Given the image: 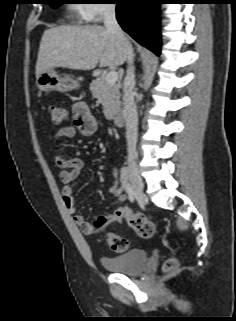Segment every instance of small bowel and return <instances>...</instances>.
<instances>
[{
  "label": "small bowel",
  "instance_id": "c3829d8e",
  "mask_svg": "<svg viewBox=\"0 0 236 321\" xmlns=\"http://www.w3.org/2000/svg\"><path fill=\"white\" fill-rule=\"evenodd\" d=\"M72 122L58 129L54 139L60 142L74 137L77 133L82 136L92 135L101 125L100 121L91 113L88 105L84 101H77L72 106ZM55 164L60 168V179L63 183L62 200L66 210L74 217L75 224L81 230L90 234L92 224L85 219L82 214L77 213L75 188L72 182L78 178L83 168V161L80 158L66 159L59 154L54 156ZM115 182L110 187L109 193L119 201H124L126 196L122 193V187L118 179L116 166H113Z\"/></svg>",
  "mask_w": 236,
  "mask_h": 321
}]
</instances>
